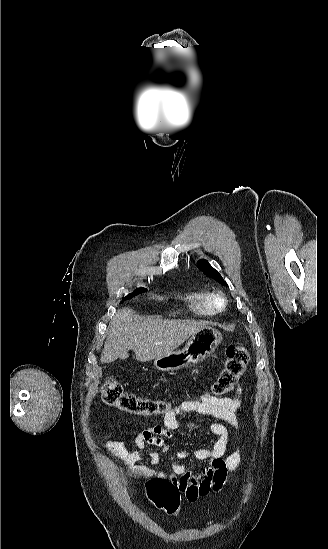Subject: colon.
Listing matches in <instances>:
<instances>
[{"instance_id":"colon-1","label":"colon","mask_w":328,"mask_h":549,"mask_svg":"<svg viewBox=\"0 0 328 549\" xmlns=\"http://www.w3.org/2000/svg\"><path fill=\"white\" fill-rule=\"evenodd\" d=\"M225 356L224 368L211 385L208 396L221 398L230 392L250 359L249 351L241 344L228 346ZM101 397L107 405L132 414L154 416L169 411L166 401L128 392L114 379L104 383ZM180 493L179 487L168 479L154 478L145 485L148 501L171 516L178 514Z\"/></svg>"}]
</instances>
